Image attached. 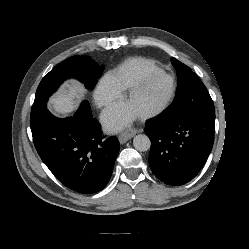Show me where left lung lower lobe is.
Returning a JSON list of instances; mask_svg holds the SVG:
<instances>
[{
	"label": "left lung lower lobe",
	"mask_w": 249,
	"mask_h": 249,
	"mask_svg": "<svg viewBox=\"0 0 249 249\" xmlns=\"http://www.w3.org/2000/svg\"><path fill=\"white\" fill-rule=\"evenodd\" d=\"M215 112L168 121L161 116L146 122L151 140L149 165L168 185H183L201 170L214 143Z\"/></svg>",
	"instance_id": "obj_1"
}]
</instances>
